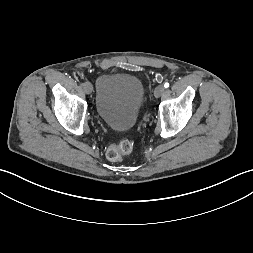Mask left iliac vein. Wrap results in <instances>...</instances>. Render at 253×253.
<instances>
[{
    "label": "left iliac vein",
    "mask_w": 253,
    "mask_h": 253,
    "mask_svg": "<svg viewBox=\"0 0 253 253\" xmlns=\"http://www.w3.org/2000/svg\"><path fill=\"white\" fill-rule=\"evenodd\" d=\"M165 91V87L163 85H159L155 88L154 96L159 98Z\"/></svg>",
    "instance_id": "obj_1"
}]
</instances>
